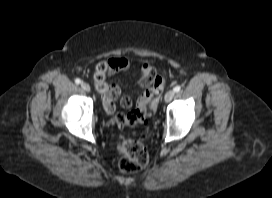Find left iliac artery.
I'll return each instance as SVG.
<instances>
[{
  "label": "left iliac artery",
  "instance_id": "1",
  "mask_svg": "<svg viewBox=\"0 0 272 198\" xmlns=\"http://www.w3.org/2000/svg\"><path fill=\"white\" fill-rule=\"evenodd\" d=\"M180 89H181V87L179 85H177L173 90H174V92H179Z\"/></svg>",
  "mask_w": 272,
  "mask_h": 198
}]
</instances>
